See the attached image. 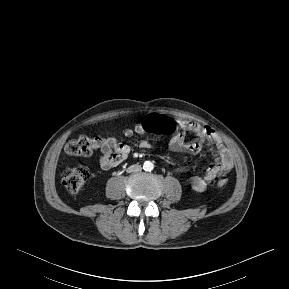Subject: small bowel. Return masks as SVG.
I'll return each mask as SVG.
<instances>
[{
  "mask_svg": "<svg viewBox=\"0 0 289 289\" xmlns=\"http://www.w3.org/2000/svg\"><path fill=\"white\" fill-rule=\"evenodd\" d=\"M180 131L171 135L169 147L174 152L197 154L205 149L210 154L215 155L214 163L208 168L204 180L211 182L224 172H228L233 167V158L229 150L224 146L219 136L208 126H202L191 121H179ZM134 134H145L140 123L124 130L126 137H132ZM187 134L193 136L190 142L185 141ZM142 147H149L148 141L142 142ZM131 148L121 143L117 137L111 136L103 139L100 147L99 165L104 170H110L121 164L127 159ZM183 169V168H182Z\"/></svg>",
  "mask_w": 289,
  "mask_h": 289,
  "instance_id": "small-bowel-1",
  "label": "small bowel"
}]
</instances>
